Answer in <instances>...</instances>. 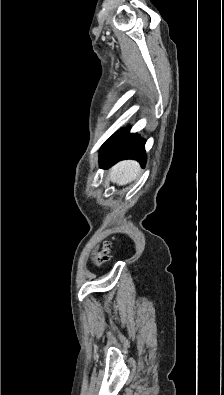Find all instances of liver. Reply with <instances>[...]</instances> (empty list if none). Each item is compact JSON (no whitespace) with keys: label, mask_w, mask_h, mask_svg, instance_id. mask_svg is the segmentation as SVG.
Listing matches in <instances>:
<instances>
[{"label":"liver","mask_w":224,"mask_h":395,"mask_svg":"<svg viewBox=\"0 0 224 395\" xmlns=\"http://www.w3.org/2000/svg\"><path fill=\"white\" fill-rule=\"evenodd\" d=\"M140 174V166L136 161L125 160L117 163L111 170L110 178L113 183L125 185Z\"/></svg>","instance_id":"obj_1"}]
</instances>
